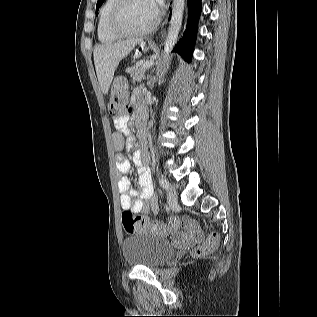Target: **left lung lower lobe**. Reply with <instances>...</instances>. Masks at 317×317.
I'll return each instance as SVG.
<instances>
[{"label":"left lung lower lobe","instance_id":"0a47b994","mask_svg":"<svg viewBox=\"0 0 317 317\" xmlns=\"http://www.w3.org/2000/svg\"><path fill=\"white\" fill-rule=\"evenodd\" d=\"M188 9L189 17L186 31L174 51L190 62L196 40L197 23L201 13V0H188Z\"/></svg>","mask_w":317,"mask_h":317}]
</instances>
